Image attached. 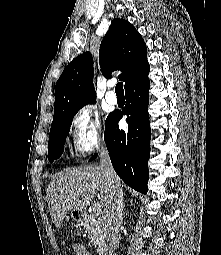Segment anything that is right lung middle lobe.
<instances>
[{
	"instance_id": "right-lung-middle-lobe-1",
	"label": "right lung middle lobe",
	"mask_w": 221,
	"mask_h": 255,
	"mask_svg": "<svg viewBox=\"0 0 221 255\" xmlns=\"http://www.w3.org/2000/svg\"><path fill=\"white\" fill-rule=\"evenodd\" d=\"M77 112L78 110L59 116L55 129L50 131L48 142V159L50 162L62 155L66 136L69 134L73 117Z\"/></svg>"
}]
</instances>
